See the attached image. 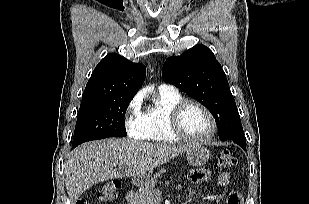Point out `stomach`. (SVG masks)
<instances>
[{
  "mask_svg": "<svg viewBox=\"0 0 309 204\" xmlns=\"http://www.w3.org/2000/svg\"><path fill=\"white\" fill-rule=\"evenodd\" d=\"M209 150L201 144H194L186 151V159L190 166L199 167L207 162L209 159ZM151 174L146 173L143 175L135 176L133 181L136 185L141 186L144 182L150 179Z\"/></svg>",
  "mask_w": 309,
  "mask_h": 204,
  "instance_id": "stomach-1",
  "label": "stomach"
}]
</instances>
